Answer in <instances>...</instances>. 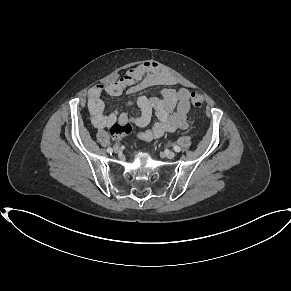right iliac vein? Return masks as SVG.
<instances>
[{
  "label": "right iliac vein",
  "instance_id": "right-iliac-vein-1",
  "mask_svg": "<svg viewBox=\"0 0 291 291\" xmlns=\"http://www.w3.org/2000/svg\"><path fill=\"white\" fill-rule=\"evenodd\" d=\"M115 152H119V147H115Z\"/></svg>",
  "mask_w": 291,
  "mask_h": 291
}]
</instances>
